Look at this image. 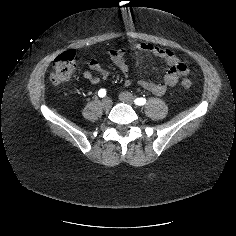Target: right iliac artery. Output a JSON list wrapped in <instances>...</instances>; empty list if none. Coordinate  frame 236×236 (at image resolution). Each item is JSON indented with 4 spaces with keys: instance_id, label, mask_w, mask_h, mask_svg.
I'll return each instance as SVG.
<instances>
[{
    "instance_id": "obj_1",
    "label": "right iliac artery",
    "mask_w": 236,
    "mask_h": 236,
    "mask_svg": "<svg viewBox=\"0 0 236 236\" xmlns=\"http://www.w3.org/2000/svg\"><path fill=\"white\" fill-rule=\"evenodd\" d=\"M105 95H106V90L105 89H100L98 91V96L99 97L103 98V97H105Z\"/></svg>"
}]
</instances>
